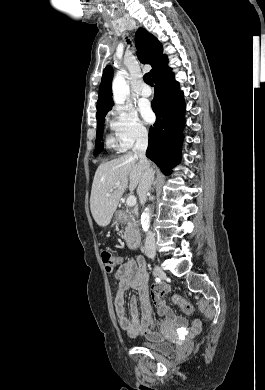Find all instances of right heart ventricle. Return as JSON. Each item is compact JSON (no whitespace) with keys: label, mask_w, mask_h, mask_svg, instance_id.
<instances>
[{"label":"right heart ventricle","mask_w":265,"mask_h":390,"mask_svg":"<svg viewBox=\"0 0 265 390\" xmlns=\"http://www.w3.org/2000/svg\"><path fill=\"white\" fill-rule=\"evenodd\" d=\"M107 144H108L109 146L114 145V144H115L114 139L111 138V137H108V138H107Z\"/></svg>","instance_id":"e07e8e85"}]
</instances>
